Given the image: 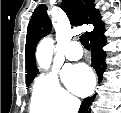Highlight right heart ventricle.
Returning <instances> with one entry per match:
<instances>
[{"mask_svg":"<svg viewBox=\"0 0 121 113\" xmlns=\"http://www.w3.org/2000/svg\"><path fill=\"white\" fill-rule=\"evenodd\" d=\"M29 112L30 113H48V111L35 98L34 91L29 103Z\"/></svg>","mask_w":121,"mask_h":113,"instance_id":"obj_1","label":"right heart ventricle"}]
</instances>
